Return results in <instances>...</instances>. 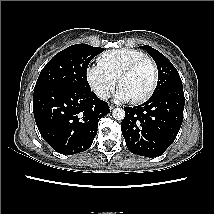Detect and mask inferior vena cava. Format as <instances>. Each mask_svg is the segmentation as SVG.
Returning <instances> with one entry per match:
<instances>
[{
    "instance_id": "obj_1",
    "label": "inferior vena cava",
    "mask_w": 214,
    "mask_h": 214,
    "mask_svg": "<svg viewBox=\"0 0 214 214\" xmlns=\"http://www.w3.org/2000/svg\"><path fill=\"white\" fill-rule=\"evenodd\" d=\"M96 95H97L99 98L104 99V100H107V99L110 97L109 92L106 91V90H103V89H98V90L96 91Z\"/></svg>"
}]
</instances>
